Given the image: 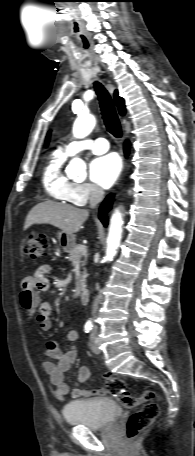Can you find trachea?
Listing matches in <instances>:
<instances>
[{"label":"trachea","mask_w":195,"mask_h":456,"mask_svg":"<svg viewBox=\"0 0 195 456\" xmlns=\"http://www.w3.org/2000/svg\"><path fill=\"white\" fill-rule=\"evenodd\" d=\"M94 88L98 95L104 123L108 132L114 137L120 138L122 135L121 125L108 91L98 82L94 84Z\"/></svg>","instance_id":"obj_1"}]
</instances>
